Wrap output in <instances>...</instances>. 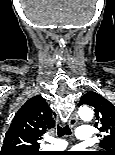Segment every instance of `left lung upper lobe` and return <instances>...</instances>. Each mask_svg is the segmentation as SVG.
Here are the masks:
<instances>
[{"instance_id":"obj_1","label":"left lung upper lobe","mask_w":115,"mask_h":155,"mask_svg":"<svg viewBox=\"0 0 115 155\" xmlns=\"http://www.w3.org/2000/svg\"><path fill=\"white\" fill-rule=\"evenodd\" d=\"M80 105L92 106L96 113L95 124L100 125V132L103 133L100 146L104 151H96L91 155H115V106L96 92L89 91L82 96Z\"/></svg>"}]
</instances>
